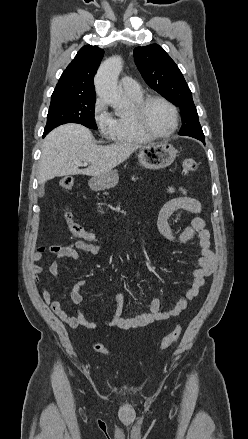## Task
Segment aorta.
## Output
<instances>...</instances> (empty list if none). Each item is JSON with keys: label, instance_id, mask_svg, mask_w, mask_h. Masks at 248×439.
<instances>
[{"label": "aorta", "instance_id": "1", "mask_svg": "<svg viewBox=\"0 0 248 439\" xmlns=\"http://www.w3.org/2000/svg\"><path fill=\"white\" fill-rule=\"evenodd\" d=\"M122 68V58L113 56L100 65L95 76L97 95L116 111L122 110L127 105V101L118 87V77Z\"/></svg>", "mask_w": 248, "mask_h": 439}]
</instances>
